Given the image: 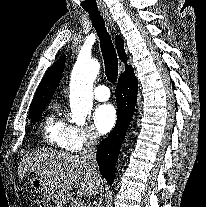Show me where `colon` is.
Returning <instances> with one entry per match:
<instances>
[{
	"mask_svg": "<svg viewBox=\"0 0 206 207\" xmlns=\"http://www.w3.org/2000/svg\"><path fill=\"white\" fill-rule=\"evenodd\" d=\"M35 207H47V205L44 201L39 200Z\"/></svg>",
	"mask_w": 206,
	"mask_h": 207,
	"instance_id": "obj_1",
	"label": "colon"
}]
</instances>
